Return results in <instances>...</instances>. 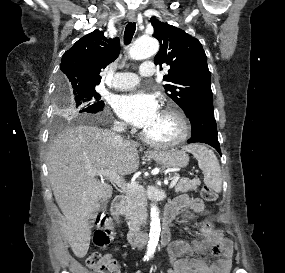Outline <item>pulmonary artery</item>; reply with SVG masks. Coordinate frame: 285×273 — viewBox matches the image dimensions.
<instances>
[{
    "label": "pulmonary artery",
    "mask_w": 285,
    "mask_h": 273,
    "mask_svg": "<svg viewBox=\"0 0 285 273\" xmlns=\"http://www.w3.org/2000/svg\"><path fill=\"white\" fill-rule=\"evenodd\" d=\"M156 72L154 62L146 61L139 67L142 76H153ZM139 83V78L132 72H118L113 74L111 86L117 90H127L135 87Z\"/></svg>",
    "instance_id": "pulmonary-artery-1"
}]
</instances>
